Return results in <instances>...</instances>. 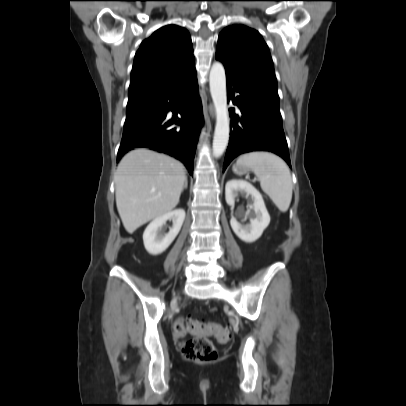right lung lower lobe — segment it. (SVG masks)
<instances>
[{"instance_id":"obj_1","label":"right lung lower lobe","mask_w":406,"mask_h":406,"mask_svg":"<svg viewBox=\"0 0 406 406\" xmlns=\"http://www.w3.org/2000/svg\"><path fill=\"white\" fill-rule=\"evenodd\" d=\"M149 103L151 115L124 128L117 159L132 149L149 148L180 160L193 175L194 155L202 122L196 74L149 100ZM170 111L173 115L169 114Z\"/></svg>"}]
</instances>
